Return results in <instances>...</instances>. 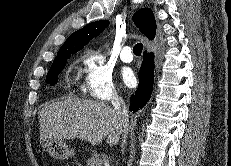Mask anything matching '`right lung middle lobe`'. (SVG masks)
<instances>
[{
  "label": "right lung middle lobe",
  "instance_id": "obj_1",
  "mask_svg": "<svg viewBox=\"0 0 231 166\" xmlns=\"http://www.w3.org/2000/svg\"><path fill=\"white\" fill-rule=\"evenodd\" d=\"M70 57V55H61L57 56L53 64L46 76L45 82L49 84L50 86H54L58 80V75L66 65L67 59Z\"/></svg>",
  "mask_w": 231,
  "mask_h": 166
}]
</instances>
